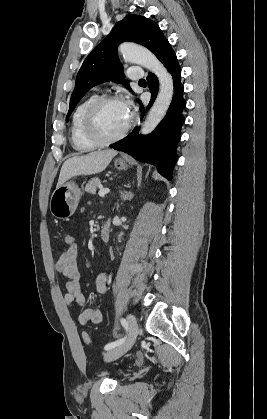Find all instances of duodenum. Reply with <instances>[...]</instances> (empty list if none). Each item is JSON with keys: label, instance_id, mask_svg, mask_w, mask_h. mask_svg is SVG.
I'll use <instances>...</instances> for the list:
<instances>
[{"label": "duodenum", "instance_id": "duodenum-1", "mask_svg": "<svg viewBox=\"0 0 267 419\" xmlns=\"http://www.w3.org/2000/svg\"><path fill=\"white\" fill-rule=\"evenodd\" d=\"M110 231H111V224L109 221H107L106 223H104L100 229L99 232V237L101 239V241L103 242H108L109 238H110Z\"/></svg>", "mask_w": 267, "mask_h": 419}]
</instances>
